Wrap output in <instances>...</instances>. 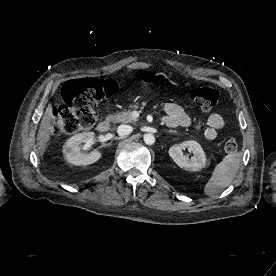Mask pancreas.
<instances>
[{
  "label": "pancreas",
  "mask_w": 276,
  "mask_h": 276,
  "mask_svg": "<svg viewBox=\"0 0 276 276\" xmlns=\"http://www.w3.org/2000/svg\"><path fill=\"white\" fill-rule=\"evenodd\" d=\"M154 107L156 108L157 106H154ZM131 108L138 109L139 107L138 105H133L131 106ZM106 120L112 123L121 122V123H133V124H135L138 121V119L132 117L131 109L124 110L120 113L109 115L107 116Z\"/></svg>",
  "instance_id": "1"
}]
</instances>
